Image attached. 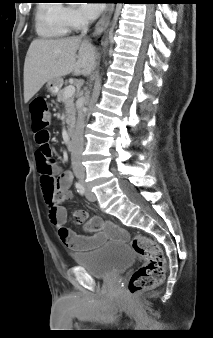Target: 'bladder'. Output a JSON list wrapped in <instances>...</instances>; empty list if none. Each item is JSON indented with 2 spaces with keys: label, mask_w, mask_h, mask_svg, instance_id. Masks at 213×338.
<instances>
[{
  "label": "bladder",
  "mask_w": 213,
  "mask_h": 338,
  "mask_svg": "<svg viewBox=\"0 0 213 338\" xmlns=\"http://www.w3.org/2000/svg\"><path fill=\"white\" fill-rule=\"evenodd\" d=\"M76 265L93 278L109 279L126 270L135 260L132 247L126 242L106 243L88 253L74 255Z\"/></svg>",
  "instance_id": "1"
}]
</instances>
